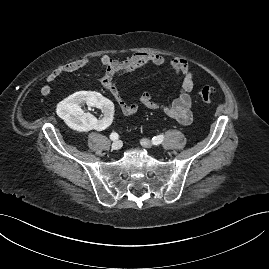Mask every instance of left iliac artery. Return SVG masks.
<instances>
[{"mask_svg":"<svg viewBox=\"0 0 269 269\" xmlns=\"http://www.w3.org/2000/svg\"><path fill=\"white\" fill-rule=\"evenodd\" d=\"M163 139H164V135L155 136V137L152 138V143L154 145H158L163 141Z\"/></svg>","mask_w":269,"mask_h":269,"instance_id":"44dca946","label":"left iliac artery"}]
</instances>
